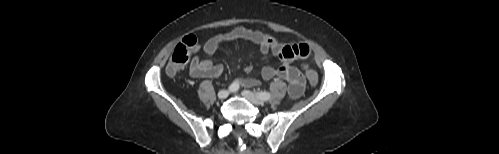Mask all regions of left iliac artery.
Returning a JSON list of instances; mask_svg holds the SVG:
<instances>
[{"mask_svg": "<svg viewBox=\"0 0 499 154\" xmlns=\"http://www.w3.org/2000/svg\"><path fill=\"white\" fill-rule=\"evenodd\" d=\"M256 94L263 101H267L271 98V94L269 92H266V91H261V92H258Z\"/></svg>", "mask_w": 499, "mask_h": 154, "instance_id": "obj_1", "label": "left iliac artery"}]
</instances>
